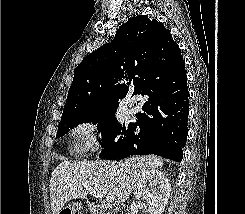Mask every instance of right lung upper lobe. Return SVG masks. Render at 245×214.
<instances>
[{"instance_id":"1","label":"right lung upper lobe","mask_w":245,"mask_h":214,"mask_svg":"<svg viewBox=\"0 0 245 214\" xmlns=\"http://www.w3.org/2000/svg\"><path fill=\"white\" fill-rule=\"evenodd\" d=\"M160 77L172 83L186 79L183 57L161 22L137 15L76 67L63 114L115 112L119 100L145 95Z\"/></svg>"}]
</instances>
